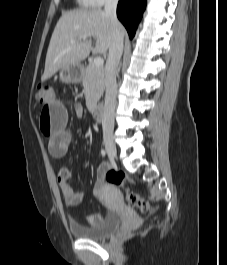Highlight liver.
I'll list each match as a JSON object with an SVG mask.
<instances>
[{"label": "liver", "instance_id": "liver-1", "mask_svg": "<svg viewBox=\"0 0 227 265\" xmlns=\"http://www.w3.org/2000/svg\"><path fill=\"white\" fill-rule=\"evenodd\" d=\"M112 30L109 17L99 9L64 13L57 22L49 43L42 81L49 79L62 68L80 64L91 50L93 53L105 55L111 46ZM120 31L124 37L122 25ZM92 38L96 39L94 48ZM73 41L77 42L72 44Z\"/></svg>", "mask_w": 227, "mask_h": 265}]
</instances>
